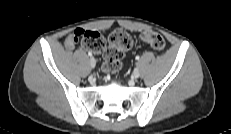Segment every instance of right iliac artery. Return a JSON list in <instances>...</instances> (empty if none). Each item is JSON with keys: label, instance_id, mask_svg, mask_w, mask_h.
I'll list each match as a JSON object with an SVG mask.
<instances>
[{"label": "right iliac artery", "instance_id": "82829eb1", "mask_svg": "<svg viewBox=\"0 0 231 134\" xmlns=\"http://www.w3.org/2000/svg\"><path fill=\"white\" fill-rule=\"evenodd\" d=\"M88 56H90V57H91V56H92V53H91V52H88Z\"/></svg>", "mask_w": 231, "mask_h": 134}]
</instances>
